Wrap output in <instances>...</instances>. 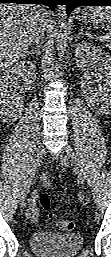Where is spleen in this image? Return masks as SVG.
Returning a JSON list of instances; mask_svg holds the SVG:
<instances>
[{
    "label": "spleen",
    "instance_id": "1",
    "mask_svg": "<svg viewBox=\"0 0 111 257\" xmlns=\"http://www.w3.org/2000/svg\"><path fill=\"white\" fill-rule=\"evenodd\" d=\"M92 9H93V12L95 15L102 13L104 15L105 19L109 23H111V7H105V8L96 7V8H92ZM109 37H111V34H109Z\"/></svg>",
    "mask_w": 111,
    "mask_h": 257
}]
</instances>
